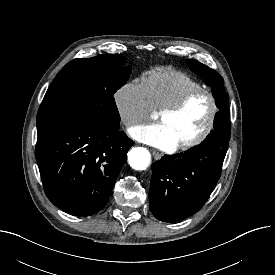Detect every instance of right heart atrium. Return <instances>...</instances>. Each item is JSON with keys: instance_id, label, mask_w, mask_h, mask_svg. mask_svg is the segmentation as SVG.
Here are the masks:
<instances>
[{"instance_id": "obj_1", "label": "right heart atrium", "mask_w": 275, "mask_h": 275, "mask_svg": "<svg viewBox=\"0 0 275 275\" xmlns=\"http://www.w3.org/2000/svg\"><path fill=\"white\" fill-rule=\"evenodd\" d=\"M118 115L127 127L147 120L154 109L144 83L129 81L120 86L114 94Z\"/></svg>"}]
</instances>
